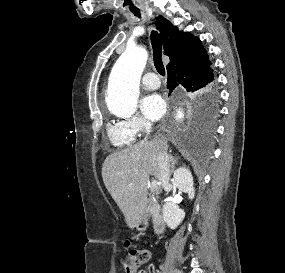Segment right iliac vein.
Segmentation results:
<instances>
[{
  "label": "right iliac vein",
  "mask_w": 285,
  "mask_h": 273,
  "mask_svg": "<svg viewBox=\"0 0 285 273\" xmlns=\"http://www.w3.org/2000/svg\"><path fill=\"white\" fill-rule=\"evenodd\" d=\"M175 273H181L179 270H176Z\"/></svg>",
  "instance_id": "obj_1"
}]
</instances>
